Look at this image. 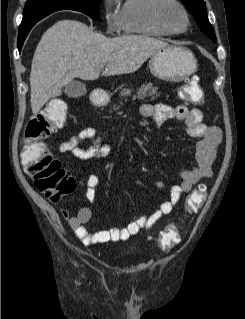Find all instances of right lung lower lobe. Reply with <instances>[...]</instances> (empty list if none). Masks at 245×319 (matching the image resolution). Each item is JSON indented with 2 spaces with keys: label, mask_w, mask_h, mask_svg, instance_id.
<instances>
[{
  "label": "right lung lower lobe",
  "mask_w": 245,
  "mask_h": 319,
  "mask_svg": "<svg viewBox=\"0 0 245 319\" xmlns=\"http://www.w3.org/2000/svg\"><path fill=\"white\" fill-rule=\"evenodd\" d=\"M35 25V24H34ZM29 26L25 29H19V33H18V49L21 51V48L23 46V43L29 33V31L31 30V28L34 26Z\"/></svg>",
  "instance_id": "obj_1"
}]
</instances>
